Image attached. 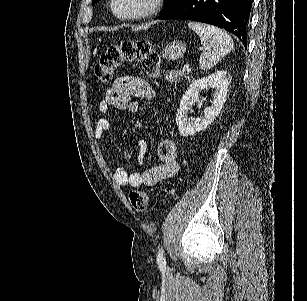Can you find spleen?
Returning <instances> with one entry per match:
<instances>
[{"mask_svg": "<svg viewBox=\"0 0 307 301\" xmlns=\"http://www.w3.org/2000/svg\"><path fill=\"white\" fill-rule=\"evenodd\" d=\"M188 26L199 34L201 44L205 46L199 58L201 70H209L225 54L233 50L234 42L226 30L213 26V24H204V22H188Z\"/></svg>", "mask_w": 307, "mask_h": 301, "instance_id": "3e777b00", "label": "spleen"}]
</instances>
